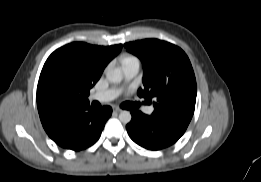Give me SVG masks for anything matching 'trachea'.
Masks as SVG:
<instances>
[{"label": "trachea", "mask_w": 261, "mask_h": 182, "mask_svg": "<svg viewBox=\"0 0 261 182\" xmlns=\"http://www.w3.org/2000/svg\"><path fill=\"white\" fill-rule=\"evenodd\" d=\"M138 107V104L137 103H125L122 105V108L124 109H135Z\"/></svg>", "instance_id": "obj_1"}]
</instances>
